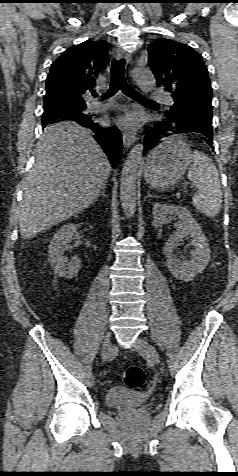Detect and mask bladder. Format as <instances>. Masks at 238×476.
<instances>
[{
    "label": "bladder",
    "instance_id": "31cf9c89",
    "mask_svg": "<svg viewBox=\"0 0 238 476\" xmlns=\"http://www.w3.org/2000/svg\"><path fill=\"white\" fill-rule=\"evenodd\" d=\"M151 398L148 391L124 386H113L105 394V404L110 408H132L147 403Z\"/></svg>",
    "mask_w": 238,
    "mask_h": 476
}]
</instances>
